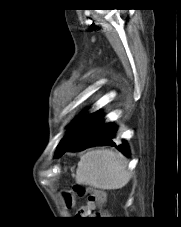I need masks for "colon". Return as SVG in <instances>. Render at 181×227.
Instances as JSON below:
<instances>
[{"label":"colon","instance_id":"1","mask_svg":"<svg viewBox=\"0 0 181 227\" xmlns=\"http://www.w3.org/2000/svg\"><path fill=\"white\" fill-rule=\"evenodd\" d=\"M65 203L68 208H72L74 206L75 198L76 197H88L89 203H97L99 206V212L98 215H105L106 212L103 209L105 200H106V194L101 191L94 188L86 187L81 184H75L72 187V190L70 192H66L63 194Z\"/></svg>","mask_w":181,"mask_h":227}]
</instances>
